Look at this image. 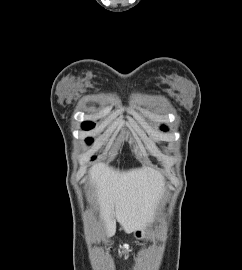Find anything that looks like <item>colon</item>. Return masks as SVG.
Returning a JSON list of instances; mask_svg holds the SVG:
<instances>
[{
  "label": "colon",
  "instance_id": "5ec220e1",
  "mask_svg": "<svg viewBox=\"0 0 242 270\" xmlns=\"http://www.w3.org/2000/svg\"><path fill=\"white\" fill-rule=\"evenodd\" d=\"M109 248H110V246H109V245H107V246H106V249H107V250H109Z\"/></svg>",
  "mask_w": 242,
  "mask_h": 270
}]
</instances>
